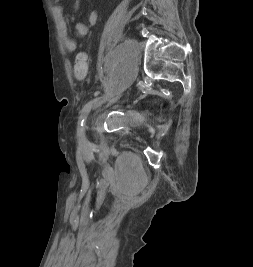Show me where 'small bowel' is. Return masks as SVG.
Returning <instances> with one entry per match:
<instances>
[{
    "label": "small bowel",
    "instance_id": "1",
    "mask_svg": "<svg viewBox=\"0 0 253 267\" xmlns=\"http://www.w3.org/2000/svg\"><path fill=\"white\" fill-rule=\"evenodd\" d=\"M55 1H59V0H55ZM53 11L58 20V24H59V28H60V32H61V36H62L65 49L70 53L75 52L77 49V42L69 35L67 23L65 21L64 14H63V8L60 5H56L54 6ZM97 19H98V15L96 11H91L88 14V24H85L82 22H76L74 24V30L76 34L80 37L86 36L89 32V29L96 24Z\"/></svg>",
    "mask_w": 253,
    "mask_h": 267
}]
</instances>
